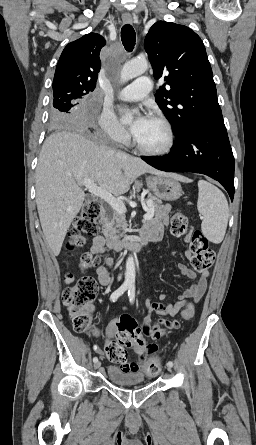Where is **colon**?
Returning a JSON list of instances; mask_svg holds the SVG:
<instances>
[{"instance_id":"colon-1","label":"colon","mask_w":256,"mask_h":445,"mask_svg":"<svg viewBox=\"0 0 256 445\" xmlns=\"http://www.w3.org/2000/svg\"><path fill=\"white\" fill-rule=\"evenodd\" d=\"M100 209V205L96 202L87 203L83 207L70 229L69 239L65 245L67 251L82 247L88 236L98 233ZM170 226L175 236L191 234V264L198 272H208L213 266L215 254L203 233L199 230L192 231L189 217L184 213H175L171 217ZM99 263V259L91 254L81 257L83 268ZM65 282L67 286L62 293V302L69 313L73 328L77 332L87 331L90 329V305L98 292L97 283L90 276H82L75 281L71 274L65 276ZM194 313V307L189 305L183 310L182 316L191 319ZM117 320V339L106 344L105 352L110 361L121 364L127 360L125 347H131L142 353L146 342L142 336V327L133 317L122 315ZM143 369L148 376H155L160 372L161 363L158 359H152L144 364Z\"/></svg>"}]
</instances>
